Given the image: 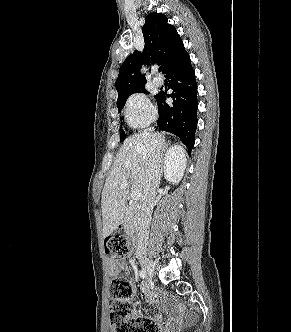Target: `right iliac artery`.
I'll return each instance as SVG.
<instances>
[{
    "label": "right iliac artery",
    "mask_w": 291,
    "mask_h": 332,
    "mask_svg": "<svg viewBox=\"0 0 291 332\" xmlns=\"http://www.w3.org/2000/svg\"><path fill=\"white\" fill-rule=\"evenodd\" d=\"M139 274H140V277L142 279H144L146 277V274H145V272L143 270H141Z\"/></svg>",
    "instance_id": "1"
}]
</instances>
